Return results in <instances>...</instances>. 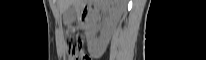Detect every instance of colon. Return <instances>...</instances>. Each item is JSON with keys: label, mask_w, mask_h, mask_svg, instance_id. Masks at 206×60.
<instances>
[{"label": "colon", "mask_w": 206, "mask_h": 60, "mask_svg": "<svg viewBox=\"0 0 206 60\" xmlns=\"http://www.w3.org/2000/svg\"><path fill=\"white\" fill-rule=\"evenodd\" d=\"M66 48L69 60H90L83 49L82 37L74 31L68 35Z\"/></svg>", "instance_id": "5ec220e1"}]
</instances>
